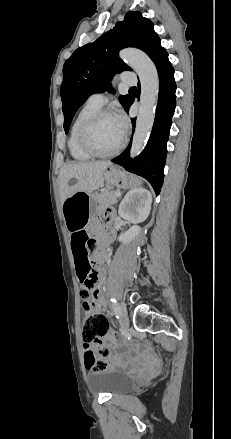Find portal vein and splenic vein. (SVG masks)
<instances>
[{
    "mask_svg": "<svg viewBox=\"0 0 231 439\" xmlns=\"http://www.w3.org/2000/svg\"><path fill=\"white\" fill-rule=\"evenodd\" d=\"M115 195H116V196H120L121 193H120V192H116Z\"/></svg>",
    "mask_w": 231,
    "mask_h": 439,
    "instance_id": "18ae733b",
    "label": "portal vein and splenic vein"
}]
</instances>
